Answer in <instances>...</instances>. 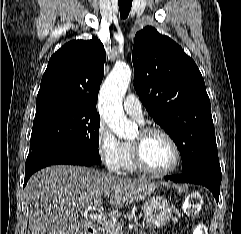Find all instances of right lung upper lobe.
Wrapping results in <instances>:
<instances>
[{
	"label": "right lung upper lobe",
	"instance_id": "cb5924a9",
	"mask_svg": "<svg viewBox=\"0 0 241 234\" xmlns=\"http://www.w3.org/2000/svg\"><path fill=\"white\" fill-rule=\"evenodd\" d=\"M106 54L100 40L66 43L48 62L36 106L68 104L96 110Z\"/></svg>",
	"mask_w": 241,
	"mask_h": 234
}]
</instances>
